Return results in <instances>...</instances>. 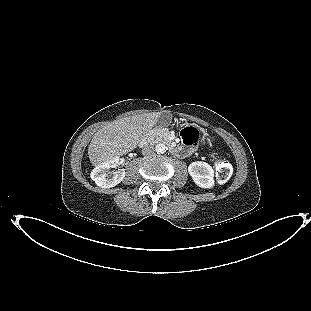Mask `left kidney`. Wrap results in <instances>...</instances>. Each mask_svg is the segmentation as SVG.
<instances>
[{
  "label": "left kidney",
  "mask_w": 311,
  "mask_h": 311,
  "mask_svg": "<svg viewBox=\"0 0 311 311\" xmlns=\"http://www.w3.org/2000/svg\"><path fill=\"white\" fill-rule=\"evenodd\" d=\"M188 172L199 187L210 189L214 186V170L208 163L202 161L192 162L188 167Z\"/></svg>",
  "instance_id": "1"
}]
</instances>
